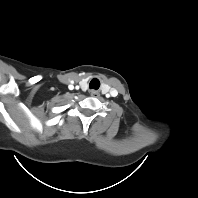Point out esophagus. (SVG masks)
Listing matches in <instances>:
<instances>
[{
	"label": "esophagus",
	"instance_id": "obj_1",
	"mask_svg": "<svg viewBox=\"0 0 198 198\" xmlns=\"http://www.w3.org/2000/svg\"><path fill=\"white\" fill-rule=\"evenodd\" d=\"M90 95L92 96V97H99V92L98 91H96V90H91L90 91Z\"/></svg>",
	"mask_w": 198,
	"mask_h": 198
}]
</instances>
